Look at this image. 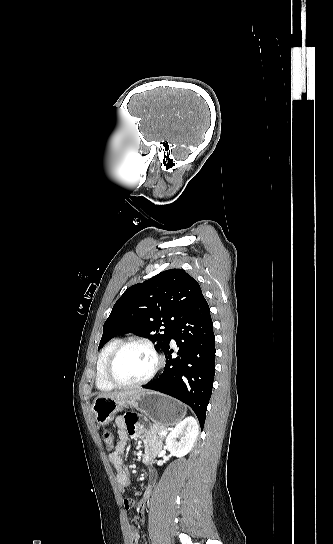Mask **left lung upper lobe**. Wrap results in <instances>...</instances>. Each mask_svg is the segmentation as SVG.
<instances>
[{
	"label": "left lung upper lobe",
	"mask_w": 333,
	"mask_h": 544,
	"mask_svg": "<svg viewBox=\"0 0 333 544\" xmlns=\"http://www.w3.org/2000/svg\"><path fill=\"white\" fill-rule=\"evenodd\" d=\"M201 295L198 282L183 269H169L129 287L104 323L98 349L120 333L133 332L164 351L176 324Z\"/></svg>",
	"instance_id": "1"
}]
</instances>
